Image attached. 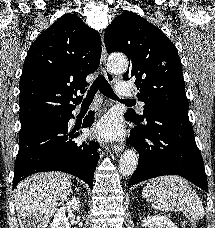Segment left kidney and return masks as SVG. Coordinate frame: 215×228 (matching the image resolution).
Instances as JSON below:
<instances>
[{
	"instance_id": "left-kidney-1",
	"label": "left kidney",
	"mask_w": 215,
	"mask_h": 228,
	"mask_svg": "<svg viewBox=\"0 0 215 228\" xmlns=\"http://www.w3.org/2000/svg\"><path fill=\"white\" fill-rule=\"evenodd\" d=\"M142 222L143 228H177L166 216H147Z\"/></svg>"
}]
</instances>
